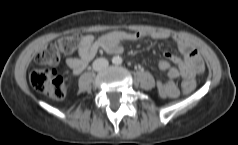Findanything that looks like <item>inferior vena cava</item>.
<instances>
[{"instance_id":"602c4592","label":"inferior vena cava","mask_w":238,"mask_h":145,"mask_svg":"<svg viewBox=\"0 0 238 145\" xmlns=\"http://www.w3.org/2000/svg\"><path fill=\"white\" fill-rule=\"evenodd\" d=\"M108 60L105 58H97L94 62H93V69L95 71H101L103 69H105L108 66Z\"/></svg>"}]
</instances>
